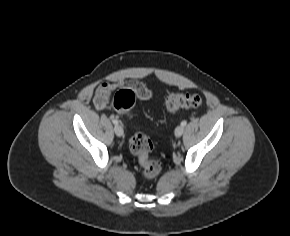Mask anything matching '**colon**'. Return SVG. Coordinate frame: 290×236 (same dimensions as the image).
<instances>
[{
  "label": "colon",
  "instance_id": "5ec220e1",
  "mask_svg": "<svg viewBox=\"0 0 290 236\" xmlns=\"http://www.w3.org/2000/svg\"><path fill=\"white\" fill-rule=\"evenodd\" d=\"M137 93L128 86H123L115 94L113 105L115 109L127 116L133 113ZM203 103L201 95L193 93H170L166 100L165 106L168 112L175 113L180 108L199 107ZM130 151L137 157L143 174L147 179L156 178L162 171V163L158 159L150 157L153 149L151 139L141 131L135 132L129 140Z\"/></svg>",
  "mask_w": 290,
  "mask_h": 236
}]
</instances>
